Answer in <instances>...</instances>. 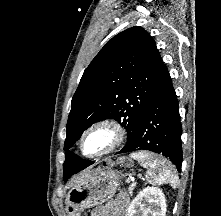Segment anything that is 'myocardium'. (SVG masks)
Masks as SVG:
<instances>
[{
	"label": "myocardium",
	"mask_w": 221,
	"mask_h": 216,
	"mask_svg": "<svg viewBox=\"0 0 221 216\" xmlns=\"http://www.w3.org/2000/svg\"><path fill=\"white\" fill-rule=\"evenodd\" d=\"M105 131L109 134V142L108 144L102 148L101 150L87 154L84 151V143L88 136L96 131ZM126 129L123 125H121L118 121L114 119H101L94 123H92L81 135L79 140V150L85 157L88 158H98L104 156L106 154L111 153L120 147L126 139Z\"/></svg>",
	"instance_id": "1"
}]
</instances>
